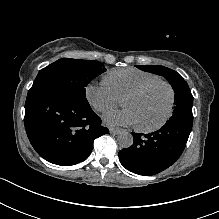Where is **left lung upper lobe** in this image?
Masks as SVG:
<instances>
[{
    "label": "left lung upper lobe",
    "mask_w": 219,
    "mask_h": 219,
    "mask_svg": "<svg viewBox=\"0 0 219 219\" xmlns=\"http://www.w3.org/2000/svg\"><path fill=\"white\" fill-rule=\"evenodd\" d=\"M137 68L161 75L171 84L175 93V104L173 115L170 119H188L193 120L192 104L193 96L189 89L187 82L174 70L164 66L152 65V66H138Z\"/></svg>",
    "instance_id": "5c2ea615"
}]
</instances>
